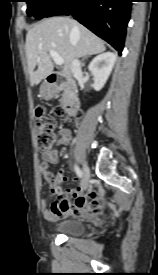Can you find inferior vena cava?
<instances>
[{
	"label": "inferior vena cava",
	"instance_id": "602c4592",
	"mask_svg": "<svg viewBox=\"0 0 158 275\" xmlns=\"http://www.w3.org/2000/svg\"><path fill=\"white\" fill-rule=\"evenodd\" d=\"M70 69L74 77L78 78L82 75L81 62L78 59L72 61Z\"/></svg>",
	"mask_w": 158,
	"mask_h": 275
}]
</instances>
